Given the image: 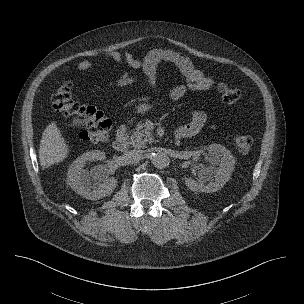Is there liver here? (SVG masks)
<instances>
[{"instance_id":"obj_1","label":"liver","mask_w":304,"mask_h":304,"mask_svg":"<svg viewBox=\"0 0 304 304\" xmlns=\"http://www.w3.org/2000/svg\"><path fill=\"white\" fill-rule=\"evenodd\" d=\"M133 80H119L118 85L125 86ZM69 146L62 137L61 131L53 121L49 124L43 134L39 147V160L42 169L64 161L68 157Z\"/></svg>"}]
</instances>
